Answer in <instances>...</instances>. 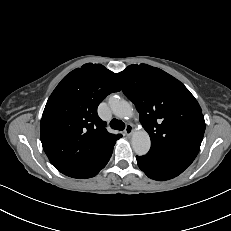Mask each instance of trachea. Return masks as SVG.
<instances>
[{"instance_id": "1", "label": "trachea", "mask_w": 231, "mask_h": 231, "mask_svg": "<svg viewBox=\"0 0 231 231\" xmlns=\"http://www.w3.org/2000/svg\"><path fill=\"white\" fill-rule=\"evenodd\" d=\"M110 127L115 130H124L125 129V123L118 119H112L110 121Z\"/></svg>"}]
</instances>
